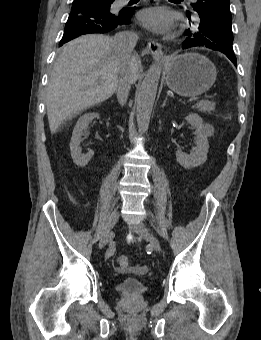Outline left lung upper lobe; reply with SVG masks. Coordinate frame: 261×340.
<instances>
[{
    "label": "left lung upper lobe",
    "mask_w": 261,
    "mask_h": 340,
    "mask_svg": "<svg viewBox=\"0 0 261 340\" xmlns=\"http://www.w3.org/2000/svg\"><path fill=\"white\" fill-rule=\"evenodd\" d=\"M205 2L219 3L229 6V0H198L192 4L194 10L199 14ZM195 22L196 31H187L189 38L196 41L197 46H204L216 51H233V33L231 28L232 17L221 11L213 12V18L205 21L198 16Z\"/></svg>",
    "instance_id": "5c2ea615"
}]
</instances>
